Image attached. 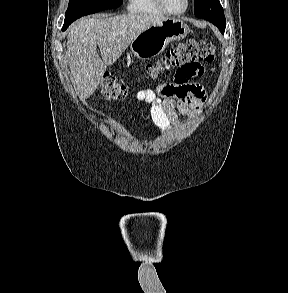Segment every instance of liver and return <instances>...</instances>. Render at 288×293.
I'll use <instances>...</instances> for the list:
<instances>
[{"label": "liver", "mask_w": 288, "mask_h": 293, "mask_svg": "<svg viewBox=\"0 0 288 293\" xmlns=\"http://www.w3.org/2000/svg\"><path fill=\"white\" fill-rule=\"evenodd\" d=\"M164 18L157 14L130 13L114 17L97 15L73 23L67 35V60L79 98L90 97L105 68L115 63L141 32Z\"/></svg>", "instance_id": "1"}]
</instances>
